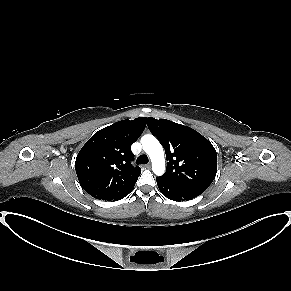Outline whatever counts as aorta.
Returning a JSON list of instances; mask_svg holds the SVG:
<instances>
[{"instance_id":"aorta-1","label":"aorta","mask_w":291,"mask_h":291,"mask_svg":"<svg viewBox=\"0 0 291 291\" xmlns=\"http://www.w3.org/2000/svg\"><path fill=\"white\" fill-rule=\"evenodd\" d=\"M144 151L152 161L153 172L160 176L165 172L164 151L160 142L153 135H144L141 138Z\"/></svg>"}]
</instances>
